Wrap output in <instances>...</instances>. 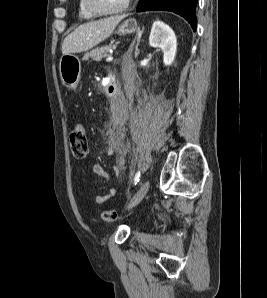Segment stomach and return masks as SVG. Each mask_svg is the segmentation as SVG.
Returning a JSON list of instances; mask_svg holds the SVG:
<instances>
[{"label": "stomach", "instance_id": "0dacf381", "mask_svg": "<svg viewBox=\"0 0 267 298\" xmlns=\"http://www.w3.org/2000/svg\"><path fill=\"white\" fill-rule=\"evenodd\" d=\"M138 30L137 21L131 18L118 27L117 33L119 35H127L135 33ZM59 69L63 85L69 89H76L81 71L79 59L71 54L63 55L60 60Z\"/></svg>", "mask_w": 267, "mask_h": 298}]
</instances>
